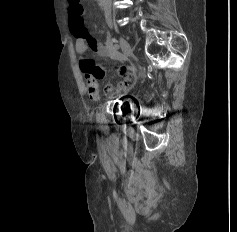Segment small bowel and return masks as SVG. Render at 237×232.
Segmentation results:
<instances>
[{
  "label": "small bowel",
  "instance_id": "c3829d8e",
  "mask_svg": "<svg viewBox=\"0 0 237 232\" xmlns=\"http://www.w3.org/2000/svg\"><path fill=\"white\" fill-rule=\"evenodd\" d=\"M73 33L75 36V49L79 55V66L85 79L87 94L90 99L98 100L100 98L99 80L105 76V71L89 57V52L112 59H118L120 57L119 53L111 41L102 44L92 38L88 31L84 33L73 31ZM117 72L122 80L116 85L109 84L105 87V94L109 98H116L128 93L134 85L135 75L133 69L130 67H119Z\"/></svg>",
  "mask_w": 237,
  "mask_h": 232
}]
</instances>
